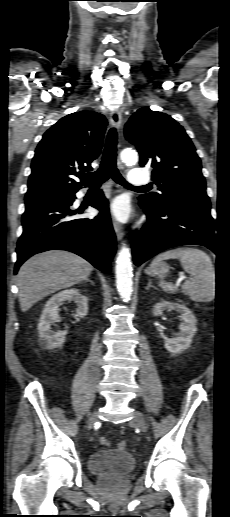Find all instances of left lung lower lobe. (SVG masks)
Listing matches in <instances>:
<instances>
[{"label": "left lung lower lobe", "mask_w": 230, "mask_h": 517, "mask_svg": "<svg viewBox=\"0 0 230 517\" xmlns=\"http://www.w3.org/2000/svg\"><path fill=\"white\" fill-rule=\"evenodd\" d=\"M148 222L132 239L133 259L139 266L159 252L180 245H202L217 253L209 199H183L160 208L139 201Z\"/></svg>", "instance_id": "1"}]
</instances>
